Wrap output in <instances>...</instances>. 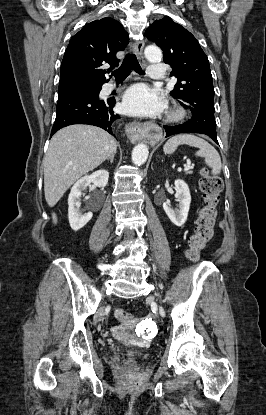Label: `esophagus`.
I'll return each instance as SVG.
<instances>
[{
    "label": "esophagus",
    "instance_id": "obj_1",
    "mask_svg": "<svg viewBox=\"0 0 266 415\" xmlns=\"http://www.w3.org/2000/svg\"><path fill=\"white\" fill-rule=\"evenodd\" d=\"M143 48H144V40L136 41V43L134 45V51H135L138 59L141 62L144 61ZM126 134H127L128 138L130 139L131 142H133V143L138 142L139 140L143 139V137L145 136L143 124L140 123V122H137V121H134V122L130 123L126 127Z\"/></svg>",
    "mask_w": 266,
    "mask_h": 415
}]
</instances>
